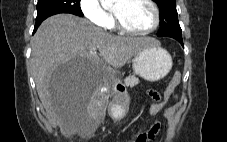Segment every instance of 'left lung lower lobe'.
I'll list each match as a JSON object with an SVG mask.
<instances>
[{"label":"left lung lower lobe","mask_w":227,"mask_h":142,"mask_svg":"<svg viewBox=\"0 0 227 142\" xmlns=\"http://www.w3.org/2000/svg\"><path fill=\"white\" fill-rule=\"evenodd\" d=\"M157 35H158V34H157ZM158 36H159V35H158ZM164 36L172 37V38L178 40V41L180 42V44L184 47L182 37H177V36H173V35H164ZM159 37H162V36H159Z\"/></svg>","instance_id":"left-lung-lower-lobe-1"}]
</instances>
